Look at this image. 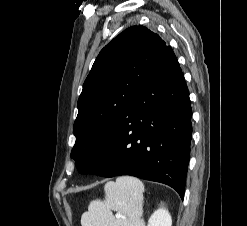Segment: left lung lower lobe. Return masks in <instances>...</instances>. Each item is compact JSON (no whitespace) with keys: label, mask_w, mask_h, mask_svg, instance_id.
Instances as JSON below:
<instances>
[{"label":"left lung lower lobe","mask_w":247,"mask_h":226,"mask_svg":"<svg viewBox=\"0 0 247 226\" xmlns=\"http://www.w3.org/2000/svg\"><path fill=\"white\" fill-rule=\"evenodd\" d=\"M187 85L165 46L113 134L90 156L83 174L131 175L164 183L183 199L192 134Z\"/></svg>","instance_id":"0a47b994"}]
</instances>
